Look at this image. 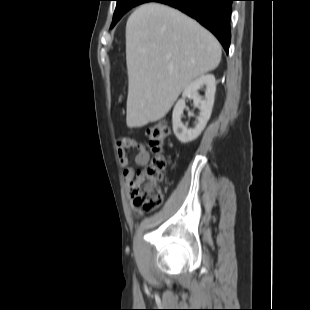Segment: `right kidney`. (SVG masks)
<instances>
[{
  "mask_svg": "<svg viewBox=\"0 0 310 310\" xmlns=\"http://www.w3.org/2000/svg\"><path fill=\"white\" fill-rule=\"evenodd\" d=\"M204 85L206 86L205 99L198 93V90ZM215 91L216 81L212 74L201 75L184 89L182 98L177 101L172 114L173 132L181 143L185 144L195 140L204 130L212 113ZM186 98L193 99L195 105L200 110V115L194 128H188L181 122V116L186 107Z\"/></svg>",
  "mask_w": 310,
  "mask_h": 310,
  "instance_id": "obj_1",
  "label": "right kidney"
}]
</instances>
